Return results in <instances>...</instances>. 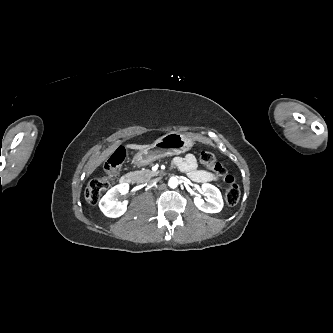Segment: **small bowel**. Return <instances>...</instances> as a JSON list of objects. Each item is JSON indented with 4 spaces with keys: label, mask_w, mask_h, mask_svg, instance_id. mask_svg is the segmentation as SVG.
Masks as SVG:
<instances>
[{
    "label": "small bowel",
    "mask_w": 333,
    "mask_h": 333,
    "mask_svg": "<svg viewBox=\"0 0 333 333\" xmlns=\"http://www.w3.org/2000/svg\"><path fill=\"white\" fill-rule=\"evenodd\" d=\"M173 164L181 171L186 172L193 181L207 183L217 180L211 172L197 168L196 158L192 154L174 158Z\"/></svg>",
    "instance_id": "1"
}]
</instances>
